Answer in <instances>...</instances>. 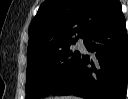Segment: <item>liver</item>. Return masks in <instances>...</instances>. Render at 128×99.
Segmentation results:
<instances>
[{
  "label": "liver",
  "mask_w": 128,
  "mask_h": 99,
  "mask_svg": "<svg viewBox=\"0 0 128 99\" xmlns=\"http://www.w3.org/2000/svg\"><path fill=\"white\" fill-rule=\"evenodd\" d=\"M55 99H79L74 96H67V97H61V98H55Z\"/></svg>",
  "instance_id": "obj_1"
}]
</instances>
